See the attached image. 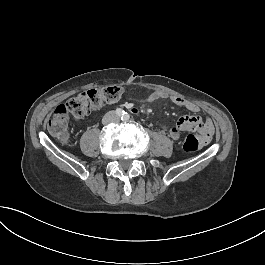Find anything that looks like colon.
<instances>
[{
    "instance_id": "5ec220e1",
    "label": "colon",
    "mask_w": 265,
    "mask_h": 265,
    "mask_svg": "<svg viewBox=\"0 0 265 265\" xmlns=\"http://www.w3.org/2000/svg\"><path fill=\"white\" fill-rule=\"evenodd\" d=\"M122 92V87L110 86L87 89L79 93L56 108L47 121L48 130L63 145H67L70 139L67 127L69 116L75 119L84 118L104 106L116 102L122 95ZM200 146L198 136L189 134L185 138L183 149L187 153H192L198 150Z\"/></svg>"
}]
</instances>
